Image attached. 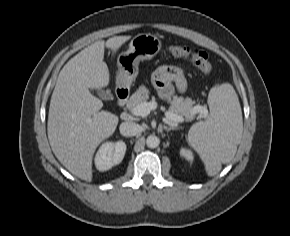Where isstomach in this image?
<instances>
[{
  "instance_id": "obj_1",
  "label": "stomach",
  "mask_w": 290,
  "mask_h": 236,
  "mask_svg": "<svg viewBox=\"0 0 290 236\" xmlns=\"http://www.w3.org/2000/svg\"><path fill=\"white\" fill-rule=\"evenodd\" d=\"M162 43L152 34H138L131 40L129 49L117 59L116 83L119 87H129L138 74V65L142 60L155 57L161 50Z\"/></svg>"
}]
</instances>
